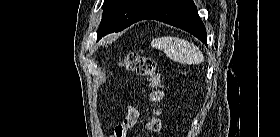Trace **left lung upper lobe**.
<instances>
[{
	"label": "left lung upper lobe",
	"mask_w": 280,
	"mask_h": 137,
	"mask_svg": "<svg viewBox=\"0 0 280 137\" xmlns=\"http://www.w3.org/2000/svg\"><path fill=\"white\" fill-rule=\"evenodd\" d=\"M161 0H105L97 39L119 32L137 22Z\"/></svg>",
	"instance_id": "1"
}]
</instances>
